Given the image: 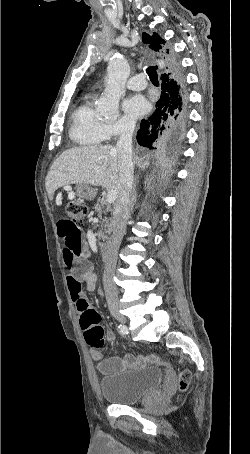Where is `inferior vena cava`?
<instances>
[{
	"mask_svg": "<svg viewBox=\"0 0 250 454\" xmlns=\"http://www.w3.org/2000/svg\"><path fill=\"white\" fill-rule=\"evenodd\" d=\"M134 122H129L121 131L116 150L121 158L122 177L118 199L112 218V245L105 265L103 284L108 305L118 304V291L113 281L117 263V253L125 234L126 222L130 214L133 185L132 136Z\"/></svg>",
	"mask_w": 250,
	"mask_h": 454,
	"instance_id": "1",
	"label": "inferior vena cava"
}]
</instances>
